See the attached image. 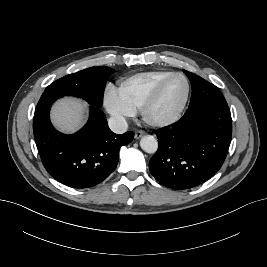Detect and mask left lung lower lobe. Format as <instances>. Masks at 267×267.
<instances>
[{
    "instance_id": "obj_1",
    "label": "left lung lower lobe",
    "mask_w": 267,
    "mask_h": 267,
    "mask_svg": "<svg viewBox=\"0 0 267 267\" xmlns=\"http://www.w3.org/2000/svg\"><path fill=\"white\" fill-rule=\"evenodd\" d=\"M212 98H191L178 122L156 131L158 150L149 170L162 185L193 188L221 168L231 142L232 119L228 105L214 107Z\"/></svg>"
}]
</instances>
